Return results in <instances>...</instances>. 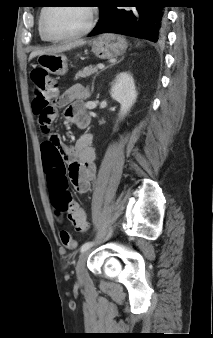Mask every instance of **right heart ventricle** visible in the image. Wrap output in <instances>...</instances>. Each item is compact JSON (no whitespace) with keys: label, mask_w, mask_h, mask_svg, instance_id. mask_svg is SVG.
I'll return each instance as SVG.
<instances>
[{"label":"right heart ventricle","mask_w":213,"mask_h":338,"mask_svg":"<svg viewBox=\"0 0 213 338\" xmlns=\"http://www.w3.org/2000/svg\"><path fill=\"white\" fill-rule=\"evenodd\" d=\"M45 10H46V7H43V8L41 9L40 13H39V18H38V29H39V33H40V23H41V18H42L43 13L45 12ZM40 36H41V38L43 39L41 33H40Z\"/></svg>","instance_id":"obj_1"}]
</instances>
